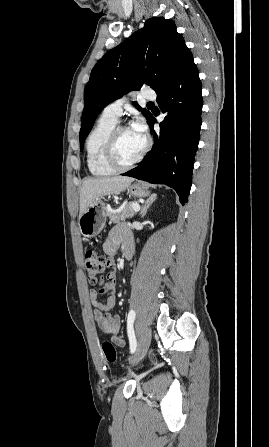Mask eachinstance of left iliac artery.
<instances>
[{
	"mask_svg": "<svg viewBox=\"0 0 269 447\" xmlns=\"http://www.w3.org/2000/svg\"><path fill=\"white\" fill-rule=\"evenodd\" d=\"M136 313L134 310H131L127 317V332H128V338L130 342V352L134 353L136 350L137 342L136 337L133 329V323L135 320Z\"/></svg>",
	"mask_w": 269,
	"mask_h": 447,
	"instance_id": "obj_1",
	"label": "left iliac artery"
}]
</instances>
